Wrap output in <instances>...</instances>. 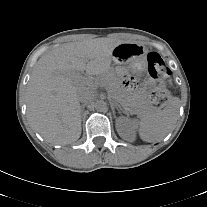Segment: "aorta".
Instances as JSON below:
<instances>
[{
	"label": "aorta",
	"mask_w": 207,
	"mask_h": 207,
	"mask_svg": "<svg viewBox=\"0 0 207 207\" xmlns=\"http://www.w3.org/2000/svg\"><path fill=\"white\" fill-rule=\"evenodd\" d=\"M95 109L100 112L107 110V103L104 100H97L95 103Z\"/></svg>",
	"instance_id": "762f6f07"
}]
</instances>
